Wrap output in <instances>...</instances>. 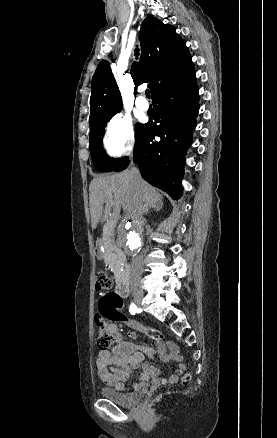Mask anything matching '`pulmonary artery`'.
Segmentation results:
<instances>
[{
    "label": "pulmonary artery",
    "mask_w": 277,
    "mask_h": 438,
    "mask_svg": "<svg viewBox=\"0 0 277 438\" xmlns=\"http://www.w3.org/2000/svg\"><path fill=\"white\" fill-rule=\"evenodd\" d=\"M136 105L138 108H140L143 111H146L148 109V104L144 98H139L136 101Z\"/></svg>",
    "instance_id": "pulmonary-artery-1"
}]
</instances>
